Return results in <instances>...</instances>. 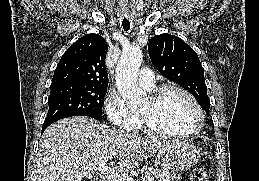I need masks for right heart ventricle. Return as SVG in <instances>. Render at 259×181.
I'll return each mask as SVG.
<instances>
[{"instance_id": "obj_1", "label": "right heart ventricle", "mask_w": 259, "mask_h": 181, "mask_svg": "<svg viewBox=\"0 0 259 181\" xmlns=\"http://www.w3.org/2000/svg\"><path fill=\"white\" fill-rule=\"evenodd\" d=\"M133 129H136V130H142L143 129L141 118L137 114H136V121H135V125H134Z\"/></svg>"}]
</instances>
